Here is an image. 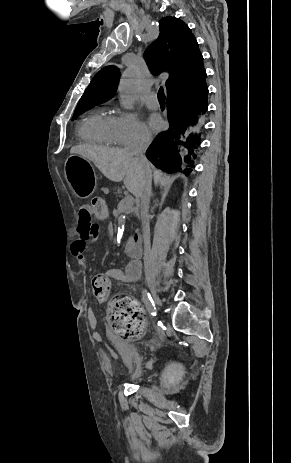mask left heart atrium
<instances>
[{
	"instance_id": "obj_1",
	"label": "left heart atrium",
	"mask_w": 291,
	"mask_h": 463,
	"mask_svg": "<svg viewBox=\"0 0 291 463\" xmlns=\"http://www.w3.org/2000/svg\"><path fill=\"white\" fill-rule=\"evenodd\" d=\"M149 126L153 131H158L162 128V121L158 116L152 115L149 118Z\"/></svg>"
}]
</instances>
